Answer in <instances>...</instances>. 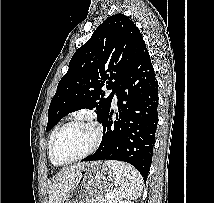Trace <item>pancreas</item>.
<instances>
[{
    "label": "pancreas",
    "mask_w": 214,
    "mask_h": 203,
    "mask_svg": "<svg viewBox=\"0 0 214 203\" xmlns=\"http://www.w3.org/2000/svg\"><path fill=\"white\" fill-rule=\"evenodd\" d=\"M107 196L103 199L102 203H116V200L108 199Z\"/></svg>",
    "instance_id": "cf45deb5"
}]
</instances>
